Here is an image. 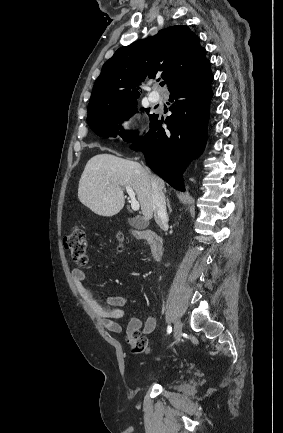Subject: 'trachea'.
<instances>
[{
    "label": "trachea",
    "instance_id": "trachea-1",
    "mask_svg": "<svg viewBox=\"0 0 283 433\" xmlns=\"http://www.w3.org/2000/svg\"><path fill=\"white\" fill-rule=\"evenodd\" d=\"M160 85H161V87H164L165 82H161Z\"/></svg>",
    "mask_w": 283,
    "mask_h": 433
}]
</instances>
